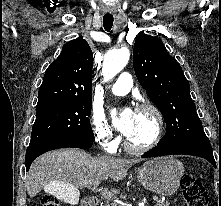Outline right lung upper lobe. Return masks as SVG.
Masks as SVG:
<instances>
[{
	"instance_id": "cb5924a9",
	"label": "right lung upper lobe",
	"mask_w": 221,
	"mask_h": 206,
	"mask_svg": "<svg viewBox=\"0 0 221 206\" xmlns=\"http://www.w3.org/2000/svg\"><path fill=\"white\" fill-rule=\"evenodd\" d=\"M93 54L83 38L66 43L47 68L36 107L92 103Z\"/></svg>"
}]
</instances>
